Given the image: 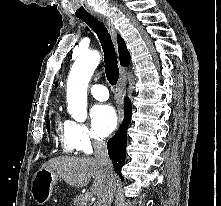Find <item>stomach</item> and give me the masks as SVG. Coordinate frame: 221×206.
<instances>
[{
    "label": "stomach",
    "mask_w": 221,
    "mask_h": 206,
    "mask_svg": "<svg viewBox=\"0 0 221 206\" xmlns=\"http://www.w3.org/2000/svg\"><path fill=\"white\" fill-rule=\"evenodd\" d=\"M59 180L60 177L53 171L43 168L37 171L31 184V194L36 203L43 205L52 195Z\"/></svg>",
    "instance_id": "obj_1"
}]
</instances>
